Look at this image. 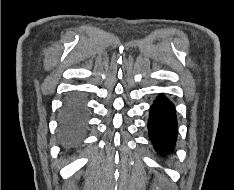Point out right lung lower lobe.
<instances>
[{
  "instance_id": "obj_1",
  "label": "right lung lower lobe",
  "mask_w": 234,
  "mask_h": 190,
  "mask_svg": "<svg viewBox=\"0 0 234 190\" xmlns=\"http://www.w3.org/2000/svg\"><path fill=\"white\" fill-rule=\"evenodd\" d=\"M87 125V113L81 100L70 99L60 121V135L67 147H75L83 138Z\"/></svg>"
}]
</instances>
